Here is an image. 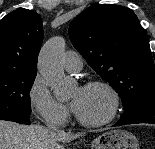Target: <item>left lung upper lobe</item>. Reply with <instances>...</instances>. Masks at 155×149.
Here are the masks:
<instances>
[{
    "label": "left lung upper lobe",
    "mask_w": 155,
    "mask_h": 149,
    "mask_svg": "<svg viewBox=\"0 0 155 149\" xmlns=\"http://www.w3.org/2000/svg\"><path fill=\"white\" fill-rule=\"evenodd\" d=\"M69 35L87 63L118 92L125 111L155 96L149 40L131 9L91 6L71 22Z\"/></svg>",
    "instance_id": "obj_1"
}]
</instances>
